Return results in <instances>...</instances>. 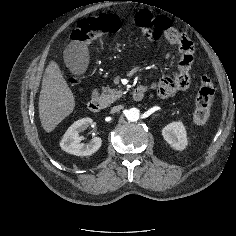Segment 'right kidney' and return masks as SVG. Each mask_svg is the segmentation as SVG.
<instances>
[{
    "label": "right kidney",
    "mask_w": 236,
    "mask_h": 236,
    "mask_svg": "<svg viewBox=\"0 0 236 236\" xmlns=\"http://www.w3.org/2000/svg\"><path fill=\"white\" fill-rule=\"evenodd\" d=\"M92 123L93 120L91 118H83L74 122L60 142L61 149L76 156H89L99 150L102 145V140L99 137H94L87 143L81 142L80 133Z\"/></svg>",
    "instance_id": "right-kidney-1"
}]
</instances>
